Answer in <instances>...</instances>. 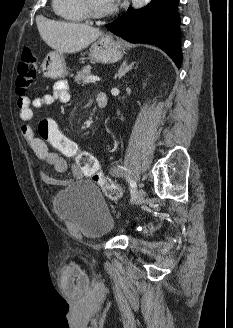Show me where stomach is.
<instances>
[{"mask_svg":"<svg viewBox=\"0 0 233 328\" xmlns=\"http://www.w3.org/2000/svg\"><path fill=\"white\" fill-rule=\"evenodd\" d=\"M125 46L119 39L110 34L102 35L92 46L90 57L102 63H115L124 54ZM41 71L44 77L51 79L62 78L67 75L64 57L56 51L46 55Z\"/></svg>","mask_w":233,"mask_h":328,"instance_id":"stomach-1","label":"stomach"}]
</instances>
